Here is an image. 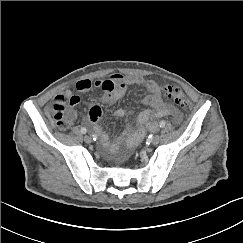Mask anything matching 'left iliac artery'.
<instances>
[{"instance_id":"44dca946","label":"left iliac artery","mask_w":243,"mask_h":243,"mask_svg":"<svg viewBox=\"0 0 243 243\" xmlns=\"http://www.w3.org/2000/svg\"><path fill=\"white\" fill-rule=\"evenodd\" d=\"M165 124H166L165 121H160L159 126H160V127H164ZM153 137H154L153 135H150V136H149V138H151V139H152Z\"/></svg>"}]
</instances>
